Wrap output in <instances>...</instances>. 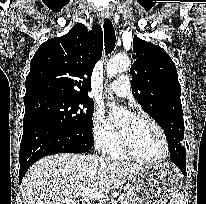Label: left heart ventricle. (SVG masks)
Here are the masks:
<instances>
[{"instance_id":"obj_1","label":"left heart ventricle","mask_w":206,"mask_h":204,"mask_svg":"<svg viewBox=\"0 0 206 204\" xmlns=\"http://www.w3.org/2000/svg\"><path fill=\"white\" fill-rule=\"evenodd\" d=\"M117 126L137 154L150 159L163 155L165 149L162 137L149 122L126 115Z\"/></svg>"}]
</instances>
